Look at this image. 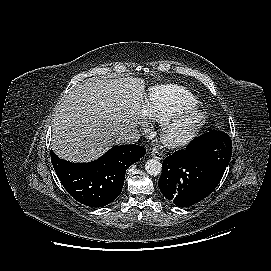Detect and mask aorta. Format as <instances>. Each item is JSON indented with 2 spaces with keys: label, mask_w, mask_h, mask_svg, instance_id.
Returning a JSON list of instances; mask_svg holds the SVG:
<instances>
[{
  "label": "aorta",
  "mask_w": 271,
  "mask_h": 271,
  "mask_svg": "<svg viewBox=\"0 0 271 271\" xmlns=\"http://www.w3.org/2000/svg\"><path fill=\"white\" fill-rule=\"evenodd\" d=\"M146 172L151 176H157L162 171V164L157 159H149L145 164Z\"/></svg>",
  "instance_id": "obj_1"
}]
</instances>
